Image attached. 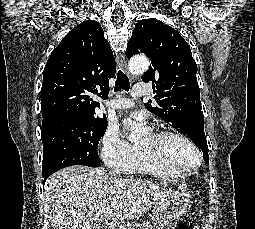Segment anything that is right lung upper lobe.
<instances>
[{
	"mask_svg": "<svg viewBox=\"0 0 255 229\" xmlns=\"http://www.w3.org/2000/svg\"><path fill=\"white\" fill-rule=\"evenodd\" d=\"M115 72L113 52L100 24L87 20L76 26L54 49L44 68L43 121L95 117V108L100 106L92 97L107 98L109 79Z\"/></svg>",
	"mask_w": 255,
	"mask_h": 229,
	"instance_id": "cb5924a9",
	"label": "right lung upper lobe"
}]
</instances>
